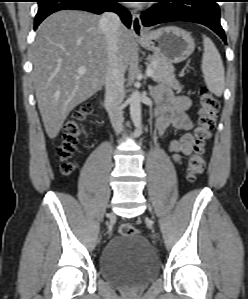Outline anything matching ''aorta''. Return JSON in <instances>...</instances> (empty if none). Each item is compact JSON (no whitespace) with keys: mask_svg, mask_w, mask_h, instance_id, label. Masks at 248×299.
Returning a JSON list of instances; mask_svg holds the SVG:
<instances>
[{"mask_svg":"<svg viewBox=\"0 0 248 299\" xmlns=\"http://www.w3.org/2000/svg\"><path fill=\"white\" fill-rule=\"evenodd\" d=\"M130 116L134 126L140 128L142 124L141 101L137 90H135L130 97Z\"/></svg>","mask_w":248,"mask_h":299,"instance_id":"aorta-1","label":"aorta"}]
</instances>
